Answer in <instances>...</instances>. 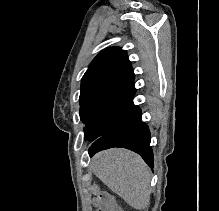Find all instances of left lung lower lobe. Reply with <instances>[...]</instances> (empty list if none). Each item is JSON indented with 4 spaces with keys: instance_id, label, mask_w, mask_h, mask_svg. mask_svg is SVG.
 <instances>
[{
    "instance_id": "0a47b994",
    "label": "left lung lower lobe",
    "mask_w": 219,
    "mask_h": 211,
    "mask_svg": "<svg viewBox=\"0 0 219 211\" xmlns=\"http://www.w3.org/2000/svg\"><path fill=\"white\" fill-rule=\"evenodd\" d=\"M112 147L128 148L141 155L145 162L153 167L150 131L142 121L141 109L138 106L133 105L109 134L95 140L88 153L93 156L98 151Z\"/></svg>"
}]
</instances>
